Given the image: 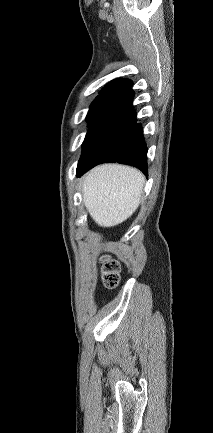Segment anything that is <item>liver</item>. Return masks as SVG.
Wrapping results in <instances>:
<instances>
[{
  "label": "liver",
  "instance_id": "liver-1",
  "mask_svg": "<svg viewBox=\"0 0 213 433\" xmlns=\"http://www.w3.org/2000/svg\"><path fill=\"white\" fill-rule=\"evenodd\" d=\"M144 184V175L133 167L99 165L85 176L83 202L99 226H116L136 211Z\"/></svg>",
  "mask_w": 213,
  "mask_h": 433
}]
</instances>
